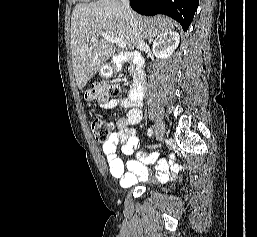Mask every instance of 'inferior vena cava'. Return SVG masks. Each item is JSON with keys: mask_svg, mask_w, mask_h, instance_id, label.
I'll return each mask as SVG.
<instances>
[{"mask_svg": "<svg viewBox=\"0 0 257 237\" xmlns=\"http://www.w3.org/2000/svg\"><path fill=\"white\" fill-rule=\"evenodd\" d=\"M121 3L124 6V9H125V12H126V16L130 20H132L133 19V15H132V11H131V8H130L129 0H121ZM136 46H137V48H140V49H142L145 46V43H144V41L142 40L141 37H138L137 42H136Z\"/></svg>", "mask_w": 257, "mask_h": 237, "instance_id": "602c4592", "label": "inferior vena cava"}]
</instances>
